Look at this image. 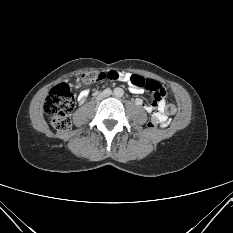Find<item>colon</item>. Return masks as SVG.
<instances>
[{
  "label": "colon",
  "instance_id": "obj_1",
  "mask_svg": "<svg viewBox=\"0 0 233 233\" xmlns=\"http://www.w3.org/2000/svg\"><path fill=\"white\" fill-rule=\"evenodd\" d=\"M99 73L103 72L91 71L84 73L81 76V83L84 85H91L101 81ZM130 83L136 88L145 89L153 93L155 97V101L153 103H157L161 99L165 98L164 89L154 80L133 74L130 78ZM74 105V95L67 84H58L50 90L44 102V111L49 116L51 125L54 129L57 131H66L70 128L71 121L68 113L74 108ZM175 111L176 107L174 104L169 103L166 105V114L172 115ZM160 125L161 120L157 115L153 116L151 121L148 123L150 128H155Z\"/></svg>",
  "mask_w": 233,
  "mask_h": 233
}]
</instances>
